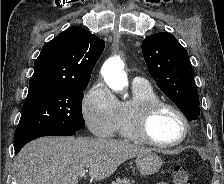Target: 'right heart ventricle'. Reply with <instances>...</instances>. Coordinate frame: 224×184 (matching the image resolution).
<instances>
[{
	"label": "right heart ventricle",
	"mask_w": 224,
	"mask_h": 184,
	"mask_svg": "<svg viewBox=\"0 0 224 184\" xmlns=\"http://www.w3.org/2000/svg\"><path fill=\"white\" fill-rule=\"evenodd\" d=\"M133 97L131 100L119 102L118 117L115 132L122 138L137 141L131 129V121L134 112L145 102L158 99L157 94L149 85L132 86Z\"/></svg>",
	"instance_id": "obj_1"
}]
</instances>
